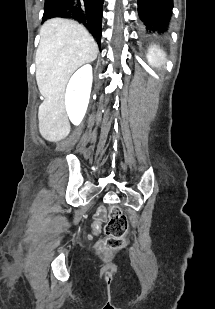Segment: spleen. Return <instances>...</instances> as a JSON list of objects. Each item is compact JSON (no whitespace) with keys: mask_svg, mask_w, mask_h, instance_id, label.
I'll use <instances>...</instances> for the list:
<instances>
[{"mask_svg":"<svg viewBox=\"0 0 215 309\" xmlns=\"http://www.w3.org/2000/svg\"><path fill=\"white\" fill-rule=\"evenodd\" d=\"M147 60L151 66H160L165 62V52L157 44H153L148 48Z\"/></svg>","mask_w":215,"mask_h":309,"instance_id":"obj_1","label":"spleen"}]
</instances>
